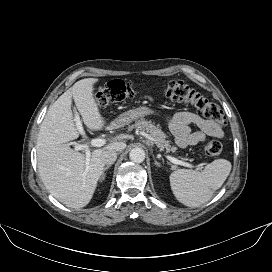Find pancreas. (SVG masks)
Segmentation results:
<instances>
[{
  "mask_svg": "<svg viewBox=\"0 0 272 272\" xmlns=\"http://www.w3.org/2000/svg\"><path fill=\"white\" fill-rule=\"evenodd\" d=\"M130 129L147 132L149 135V141L159 147L160 150L166 149L167 152L176 151V147L171 146L170 142L166 140L167 136L164 134L159 125L156 126L151 121L140 119L136 121V123L132 125Z\"/></svg>",
  "mask_w": 272,
  "mask_h": 272,
  "instance_id": "1",
  "label": "pancreas"
}]
</instances>
